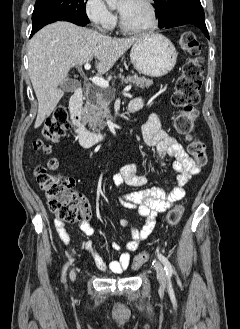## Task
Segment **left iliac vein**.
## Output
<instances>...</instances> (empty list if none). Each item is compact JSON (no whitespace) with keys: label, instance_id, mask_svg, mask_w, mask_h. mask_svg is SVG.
<instances>
[{"label":"left iliac vein","instance_id":"4c4485c4","mask_svg":"<svg viewBox=\"0 0 240 329\" xmlns=\"http://www.w3.org/2000/svg\"><path fill=\"white\" fill-rule=\"evenodd\" d=\"M155 269L158 281L164 286L166 284V274L162 264L159 261L155 262Z\"/></svg>","mask_w":240,"mask_h":329}]
</instances>
